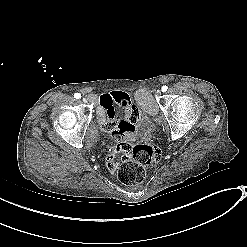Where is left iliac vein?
<instances>
[{
    "label": "left iliac vein",
    "mask_w": 247,
    "mask_h": 247,
    "mask_svg": "<svg viewBox=\"0 0 247 247\" xmlns=\"http://www.w3.org/2000/svg\"><path fill=\"white\" fill-rule=\"evenodd\" d=\"M157 94H160V91H157Z\"/></svg>",
    "instance_id": "1"
}]
</instances>
